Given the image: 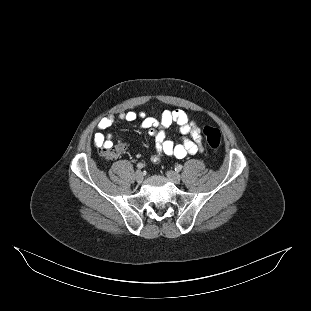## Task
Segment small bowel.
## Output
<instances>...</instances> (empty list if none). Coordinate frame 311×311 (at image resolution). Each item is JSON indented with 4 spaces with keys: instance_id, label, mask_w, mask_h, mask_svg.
<instances>
[{
    "instance_id": "c3829d8e",
    "label": "small bowel",
    "mask_w": 311,
    "mask_h": 311,
    "mask_svg": "<svg viewBox=\"0 0 311 311\" xmlns=\"http://www.w3.org/2000/svg\"><path fill=\"white\" fill-rule=\"evenodd\" d=\"M119 117L121 120L128 122L135 121L138 118L142 120L141 127L154 137L156 153L151 156V161L154 163L159 162L163 155L183 159L188 155H195L203 150L200 130L183 110H166L160 118L133 111L122 113ZM113 122L114 118L112 116L104 117L98 122V132L94 135V143L97 147L112 144L111 136L103 134L102 131L110 128ZM173 125H176L184 135L180 144H175L166 135V130Z\"/></svg>"
}]
</instances>
